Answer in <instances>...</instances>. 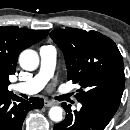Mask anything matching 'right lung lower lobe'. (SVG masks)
Returning <instances> with one entry per match:
<instances>
[{
	"mask_svg": "<svg viewBox=\"0 0 130 130\" xmlns=\"http://www.w3.org/2000/svg\"><path fill=\"white\" fill-rule=\"evenodd\" d=\"M43 104L42 98L27 101L13 93L0 94V130H21L26 114Z\"/></svg>",
	"mask_w": 130,
	"mask_h": 130,
	"instance_id": "obj_1",
	"label": "right lung lower lobe"
}]
</instances>
